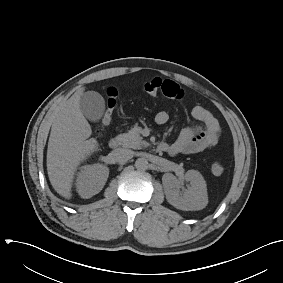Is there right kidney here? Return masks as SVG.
Masks as SVG:
<instances>
[{"label":"right kidney","mask_w":283,"mask_h":283,"mask_svg":"<svg viewBox=\"0 0 283 283\" xmlns=\"http://www.w3.org/2000/svg\"><path fill=\"white\" fill-rule=\"evenodd\" d=\"M109 176V169L102 164L81 167L76 180V188L82 198H91L104 187Z\"/></svg>","instance_id":"1"}]
</instances>
